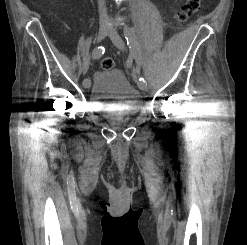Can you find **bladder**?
Here are the masks:
<instances>
[{"label":"bladder","mask_w":247,"mask_h":245,"mask_svg":"<svg viewBox=\"0 0 247 245\" xmlns=\"http://www.w3.org/2000/svg\"><path fill=\"white\" fill-rule=\"evenodd\" d=\"M89 101L101 115L133 114L141 104L140 93L118 69L97 72L88 94ZM117 109V110H112Z\"/></svg>","instance_id":"31cf9c89"}]
</instances>
